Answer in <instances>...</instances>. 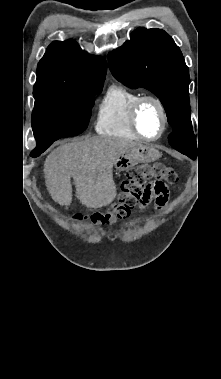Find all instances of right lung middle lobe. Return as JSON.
Segmentation results:
<instances>
[{"instance_id":"right-lung-middle-lobe-1","label":"right lung middle lobe","mask_w":221,"mask_h":379,"mask_svg":"<svg viewBox=\"0 0 221 379\" xmlns=\"http://www.w3.org/2000/svg\"><path fill=\"white\" fill-rule=\"evenodd\" d=\"M103 86L34 96L32 129L35 149L48 148L55 140L75 136L88 126L93 97Z\"/></svg>"}]
</instances>
